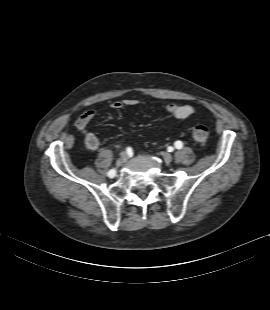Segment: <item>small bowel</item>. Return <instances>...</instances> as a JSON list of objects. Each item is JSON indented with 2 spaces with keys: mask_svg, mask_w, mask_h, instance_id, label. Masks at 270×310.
<instances>
[{
  "mask_svg": "<svg viewBox=\"0 0 270 310\" xmlns=\"http://www.w3.org/2000/svg\"><path fill=\"white\" fill-rule=\"evenodd\" d=\"M138 104L139 101L137 99L128 98L122 101L113 102L111 104V108L114 110H121L125 106H136ZM166 110L169 117L175 121H183L194 113V107L191 105L169 104L166 106ZM95 115L96 111L94 109H89L79 115L73 122V125L77 128V130L84 133L85 144L91 150H95L99 146L98 137L94 133L88 131V125Z\"/></svg>",
  "mask_w": 270,
  "mask_h": 310,
  "instance_id": "c3829d8e",
  "label": "small bowel"
}]
</instances>
